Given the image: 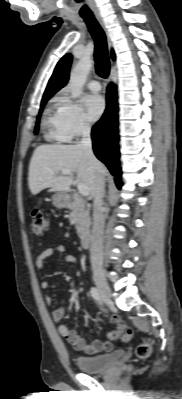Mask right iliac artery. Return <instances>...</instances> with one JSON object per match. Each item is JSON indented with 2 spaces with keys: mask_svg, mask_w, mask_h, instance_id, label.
Listing matches in <instances>:
<instances>
[{
  "mask_svg": "<svg viewBox=\"0 0 182 399\" xmlns=\"http://www.w3.org/2000/svg\"><path fill=\"white\" fill-rule=\"evenodd\" d=\"M90 294L95 301H100L99 291L96 287L91 288Z\"/></svg>",
  "mask_w": 182,
  "mask_h": 399,
  "instance_id": "82829eb1",
  "label": "right iliac artery"
}]
</instances>
